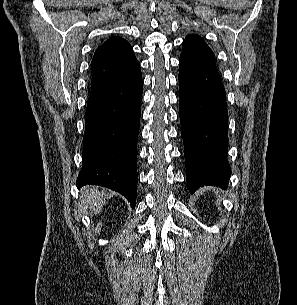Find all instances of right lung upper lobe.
Returning a JSON list of instances; mask_svg holds the SVG:
<instances>
[{
    "instance_id": "1",
    "label": "right lung upper lobe",
    "mask_w": 297,
    "mask_h": 305,
    "mask_svg": "<svg viewBox=\"0 0 297 305\" xmlns=\"http://www.w3.org/2000/svg\"><path fill=\"white\" fill-rule=\"evenodd\" d=\"M136 57L130 44L121 37H113L99 46L91 62V86L104 83L129 70Z\"/></svg>"
}]
</instances>
